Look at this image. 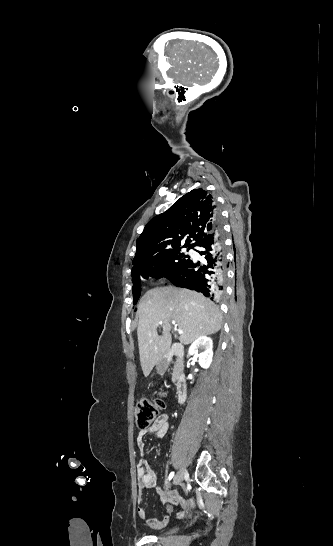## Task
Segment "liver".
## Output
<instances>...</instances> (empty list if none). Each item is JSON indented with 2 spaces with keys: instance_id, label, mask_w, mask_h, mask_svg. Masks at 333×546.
Masks as SVG:
<instances>
[{
  "instance_id": "1",
  "label": "liver",
  "mask_w": 333,
  "mask_h": 546,
  "mask_svg": "<svg viewBox=\"0 0 333 546\" xmlns=\"http://www.w3.org/2000/svg\"><path fill=\"white\" fill-rule=\"evenodd\" d=\"M137 314L140 362L145 377L171 346L172 320L183 331L180 343L188 345L200 337L217 333L223 319L219 308L202 294L173 286L147 291ZM159 325H162V336L157 334Z\"/></svg>"
}]
</instances>
